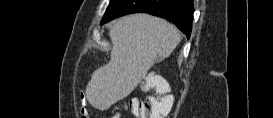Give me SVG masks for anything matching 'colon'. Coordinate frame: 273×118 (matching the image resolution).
I'll list each match as a JSON object with an SVG mask.
<instances>
[{"label": "colon", "instance_id": "1", "mask_svg": "<svg viewBox=\"0 0 273 118\" xmlns=\"http://www.w3.org/2000/svg\"><path fill=\"white\" fill-rule=\"evenodd\" d=\"M145 86L154 89V95L144 99L134 98L129 102L128 108L139 118H162L166 116L173 104V97L166 94L168 85L161 83L155 88L153 80L148 78L145 80ZM83 118H87V116L84 115Z\"/></svg>", "mask_w": 273, "mask_h": 118}]
</instances>
